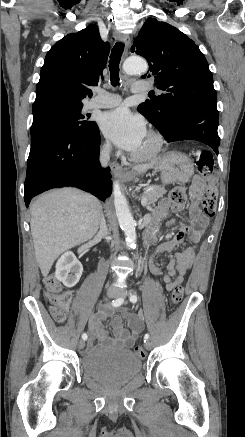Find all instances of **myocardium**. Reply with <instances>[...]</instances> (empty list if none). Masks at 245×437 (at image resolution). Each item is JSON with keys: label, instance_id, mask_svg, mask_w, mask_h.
Instances as JSON below:
<instances>
[{"label": "myocardium", "instance_id": "1", "mask_svg": "<svg viewBox=\"0 0 245 437\" xmlns=\"http://www.w3.org/2000/svg\"><path fill=\"white\" fill-rule=\"evenodd\" d=\"M148 138L152 141V147L149 151L143 154L132 155V158L136 161H150L157 158L163 151L165 140L161 133L156 130H149L147 133Z\"/></svg>", "mask_w": 245, "mask_h": 437}]
</instances>
